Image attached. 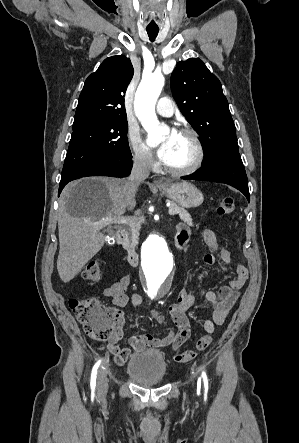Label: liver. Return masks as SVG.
Segmentation results:
<instances>
[{"instance_id": "liver-1", "label": "liver", "mask_w": 299, "mask_h": 443, "mask_svg": "<svg viewBox=\"0 0 299 443\" xmlns=\"http://www.w3.org/2000/svg\"><path fill=\"white\" fill-rule=\"evenodd\" d=\"M127 179L86 178L68 184L60 197L57 270L61 280H72L104 246L112 223L96 228L91 223L118 218L132 210L135 199L124 192ZM103 230V231H102Z\"/></svg>"}]
</instances>
